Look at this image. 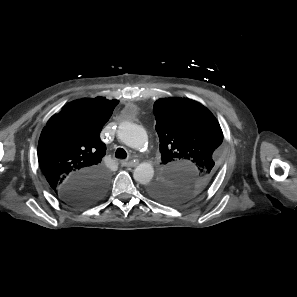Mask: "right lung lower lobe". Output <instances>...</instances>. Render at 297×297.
<instances>
[{
    "instance_id": "obj_1",
    "label": "right lung lower lobe",
    "mask_w": 297,
    "mask_h": 297,
    "mask_svg": "<svg viewBox=\"0 0 297 297\" xmlns=\"http://www.w3.org/2000/svg\"><path fill=\"white\" fill-rule=\"evenodd\" d=\"M109 182L107 171L95 170L79 173L62 189L58 196L73 206H87L101 199Z\"/></svg>"
}]
</instances>
